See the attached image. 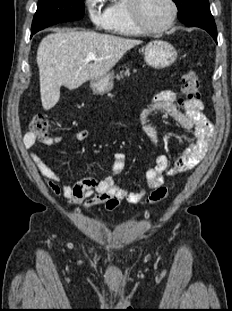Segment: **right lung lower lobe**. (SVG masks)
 I'll list each match as a JSON object with an SVG mask.
<instances>
[{
  "label": "right lung lower lobe",
  "mask_w": 232,
  "mask_h": 311,
  "mask_svg": "<svg viewBox=\"0 0 232 311\" xmlns=\"http://www.w3.org/2000/svg\"><path fill=\"white\" fill-rule=\"evenodd\" d=\"M33 34H35V33L32 32V33H31V37H32Z\"/></svg>",
  "instance_id": "obj_1"
}]
</instances>
